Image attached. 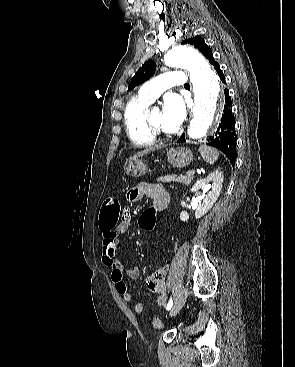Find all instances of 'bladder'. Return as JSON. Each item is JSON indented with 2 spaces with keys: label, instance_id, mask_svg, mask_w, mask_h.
<instances>
[{
  "label": "bladder",
  "instance_id": "bladder-1",
  "mask_svg": "<svg viewBox=\"0 0 295 367\" xmlns=\"http://www.w3.org/2000/svg\"><path fill=\"white\" fill-rule=\"evenodd\" d=\"M152 326L154 329H162L164 327V322L162 318H160L159 316H155L152 319Z\"/></svg>",
  "mask_w": 295,
  "mask_h": 367
}]
</instances>
